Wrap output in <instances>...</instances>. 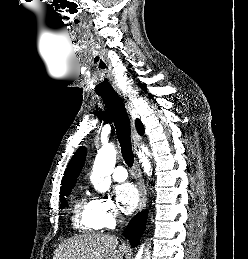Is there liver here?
<instances>
[{"instance_id":"liver-1","label":"liver","mask_w":248,"mask_h":259,"mask_svg":"<svg viewBox=\"0 0 248 259\" xmlns=\"http://www.w3.org/2000/svg\"><path fill=\"white\" fill-rule=\"evenodd\" d=\"M129 248L109 234H84L65 240L53 259H123Z\"/></svg>"}]
</instances>
